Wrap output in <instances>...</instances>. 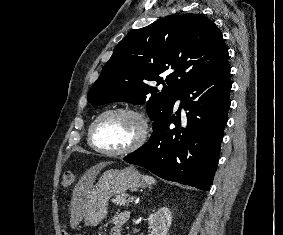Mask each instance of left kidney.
Listing matches in <instances>:
<instances>
[{"instance_id": "left-kidney-1", "label": "left kidney", "mask_w": 283, "mask_h": 235, "mask_svg": "<svg viewBox=\"0 0 283 235\" xmlns=\"http://www.w3.org/2000/svg\"><path fill=\"white\" fill-rule=\"evenodd\" d=\"M172 222V213L167 207H161L149 215L148 223L152 229L149 235H167Z\"/></svg>"}]
</instances>
